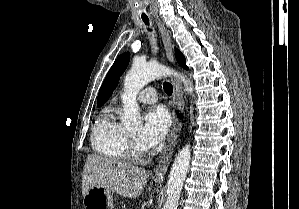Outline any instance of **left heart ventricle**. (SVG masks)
<instances>
[{
  "label": "left heart ventricle",
  "mask_w": 299,
  "mask_h": 209,
  "mask_svg": "<svg viewBox=\"0 0 299 209\" xmlns=\"http://www.w3.org/2000/svg\"><path fill=\"white\" fill-rule=\"evenodd\" d=\"M129 134L135 139V141H136L137 144L140 146V148L145 149V148H143V147L139 144V142H138L139 130H133V131H130Z\"/></svg>",
  "instance_id": "1"
}]
</instances>
